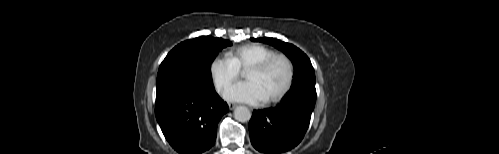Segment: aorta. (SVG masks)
I'll use <instances>...</instances> for the list:
<instances>
[{
    "label": "aorta",
    "mask_w": 499,
    "mask_h": 154,
    "mask_svg": "<svg viewBox=\"0 0 499 154\" xmlns=\"http://www.w3.org/2000/svg\"><path fill=\"white\" fill-rule=\"evenodd\" d=\"M234 118L239 122H247L251 118V112L247 107L239 106L234 110Z\"/></svg>",
    "instance_id": "obj_1"
}]
</instances>
